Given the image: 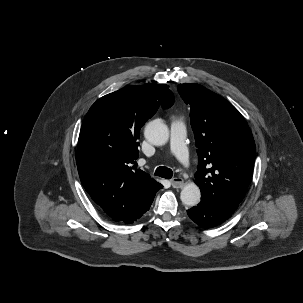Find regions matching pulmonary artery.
<instances>
[{"mask_svg": "<svg viewBox=\"0 0 303 303\" xmlns=\"http://www.w3.org/2000/svg\"><path fill=\"white\" fill-rule=\"evenodd\" d=\"M170 151L183 164L188 165L189 153L186 146V125L181 118H172L170 124Z\"/></svg>", "mask_w": 303, "mask_h": 303, "instance_id": "pulmonary-artery-1", "label": "pulmonary artery"}]
</instances>
